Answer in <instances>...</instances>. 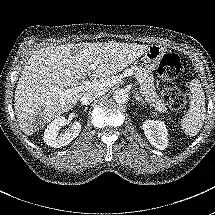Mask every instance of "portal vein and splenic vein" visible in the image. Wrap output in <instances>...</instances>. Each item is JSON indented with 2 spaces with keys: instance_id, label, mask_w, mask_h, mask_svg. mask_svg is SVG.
I'll list each match as a JSON object with an SVG mask.
<instances>
[{
  "instance_id": "1",
  "label": "portal vein and splenic vein",
  "mask_w": 215,
  "mask_h": 215,
  "mask_svg": "<svg viewBox=\"0 0 215 215\" xmlns=\"http://www.w3.org/2000/svg\"><path fill=\"white\" fill-rule=\"evenodd\" d=\"M131 75H132V73L128 70H126L123 74L124 77H129ZM116 82H118V78H109L107 80H104V79L103 80H94V79L89 78L87 80H84L82 82V84L78 85L76 88H74V87L69 88L68 92H72V91L74 92V91H76L77 88L85 89V87H92V88L98 89V90H100V89L106 90V89L112 87ZM165 113L169 114L168 111H165Z\"/></svg>"
}]
</instances>
